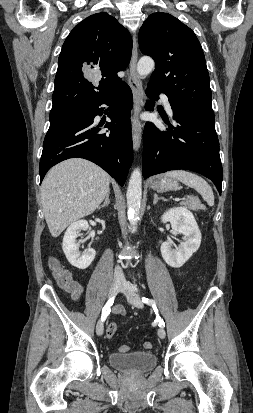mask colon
Wrapping results in <instances>:
<instances>
[{"mask_svg":"<svg viewBox=\"0 0 253 413\" xmlns=\"http://www.w3.org/2000/svg\"><path fill=\"white\" fill-rule=\"evenodd\" d=\"M50 268L52 270L53 276L58 282V284L62 287L67 286L73 281L72 274L63 268L60 263L56 259H51L50 260ZM117 331V324L115 322H111L107 326L106 334L108 338H112ZM145 349H151L152 348V343L151 342H145L143 344ZM129 350V347L127 345H122L120 347L121 352H127Z\"/></svg>","mask_w":253,"mask_h":413,"instance_id":"5ec220e1","label":"colon"}]
</instances>
